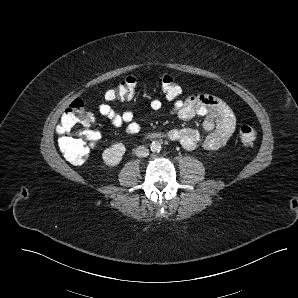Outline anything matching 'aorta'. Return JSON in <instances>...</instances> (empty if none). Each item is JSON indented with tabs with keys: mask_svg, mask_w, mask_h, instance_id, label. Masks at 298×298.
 <instances>
[{
	"mask_svg": "<svg viewBox=\"0 0 298 298\" xmlns=\"http://www.w3.org/2000/svg\"><path fill=\"white\" fill-rule=\"evenodd\" d=\"M161 144L158 142V141H153L151 144H150V149L153 153H158L161 151Z\"/></svg>",
	"mask_w": 298,
	"mask_h": 298,
	"instance_id": "1",
	"label": "aorta"
}]
</instances>
